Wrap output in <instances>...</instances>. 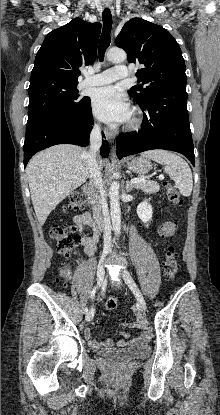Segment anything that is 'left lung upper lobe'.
Returning a JSON list of instances; mask_svg holds the SVG:
<instances>
[{
  "label": "left lung upper lobe",
  "instance_id": "left-lung-upper-lobe-1",
  "mask_svg": "<svg viewBox=\"0 0 220 415\" xmlns=\"http://www.w3.org/2000/svg\"><path fill=\"white\" fill-rule=\"evenodd\" d=\"M116 45L127 52L129 63H138L137 86L128 92L138 104L158 89L186 86L185 62L179 44L163 27L142 18H133L122 28Z\"/></svg>",
  "mask_w": 220,
  "mask_h": 415
}]
</instances>
